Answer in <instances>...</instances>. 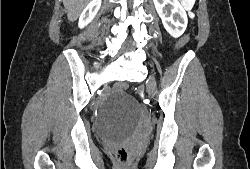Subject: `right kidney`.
Here are the masks:
<instances>
[{
	"mask_svg": "<svg viewBox=\"0 0 250 169\" xmlns=\"http://www.w3.org/2000/svg\"><path fill=\"white\" fill-rule=\"evenodd\" d=\"M100 6H101V0H90L89 4L85 6L84 10H82L79 16L78 20L79 28H84V26H87V24H89V22L93 20Z\"/></svg>",
	"mask_w": 250,
	"mask_h": 169,
	"instance_id": "1",
	"label": "right kidney"
}]
</instances>
